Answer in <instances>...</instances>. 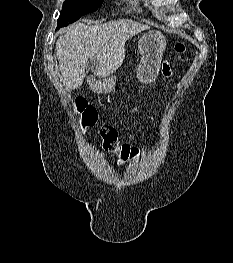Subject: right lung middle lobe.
Masks as SVG:
<instances>
[{
  "mask_svg": "<svg viewBox=\"0 0 233 263\" xmlns=\"http://www.w3.org/2000/svg\"><path fill=\"white\" fill-rule=\"evenodd\" d=\"M104 0H66L57 22V27H64L78 20L82 15L94 12Z\"/></svg>",
  "mask_w": 233,
  "mask_h": 263,
  "instance_id": "dd1d6c3e",
  "label": "right lung middle lobe"
}]
</instances>
